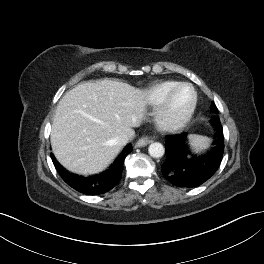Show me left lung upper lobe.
Returning a JSON list of instances; mask_svg holds the SVG:
<instances>
[{
  "label": "left lung upper lobe",
  "instance_id": "1",
  "mask_svg": "<svg viewBox=\"0 0 264 264\" xmlns=\"http://www.w3.org/2000/svg\"><path fill=\"white\" fill-rule=\"evenodd\" d=\"M211 111L214 113H218L216 106L214 103L211 104ZM211 123L214 127L221 126L220 119L218 117H215L211 120Z\"/></svg>",
  "mask_w": 264,
  "mask_h": 264
}]
</instances>
